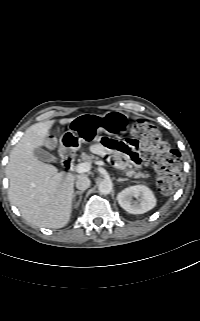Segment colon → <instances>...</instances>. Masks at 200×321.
Masks as SVG:
<instances>
[{
    "instance_id": "1",
    "label": "colon",
    "mask_w": 200,
    "mask_h": 321,
    "mask_svg": "<svg viewBox=\"0 0 200 321\" xmlns=\"http://www.w3.org/2000/svg\"><path fill=\"white\" fill-rule=\"evenodd\" d=\"M132 137L137 141L136 147L145 156L152 157L159 189L166 194L176 190L181 182L179 152L163 140L160 131L155 126L144 121H138L134 125Z\"/></svg>"
}]
</instances>
